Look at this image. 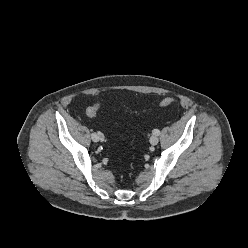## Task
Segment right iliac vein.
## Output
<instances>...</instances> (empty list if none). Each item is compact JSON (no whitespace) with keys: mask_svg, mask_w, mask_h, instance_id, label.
Masks as SVG:
<instances>
[{"mask_svg":"<svg viewBox=\"0 0 248 248\" xmlns=\"http://www.w3.org/2000/svg\"><path fill=\"white\" fill-rule=\"evenodd\" d=\"M104 140V136L102 135V134H99L98 136H97V142L98 141H103Z\"/></svg>","mask_w":248,"mask_h":248,"instance_id":"obj_1","label":"right iliac vein"}]
</instances>
